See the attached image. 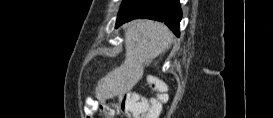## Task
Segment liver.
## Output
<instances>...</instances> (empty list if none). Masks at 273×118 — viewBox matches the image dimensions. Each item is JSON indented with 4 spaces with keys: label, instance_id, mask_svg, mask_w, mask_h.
Wrapping results in <instances>:
<instances>
[{
    "label": "liver",
    "instance_id": "6515ba94",
    "mask_svg": "<svg viewBox=\"0 0 273 118\" xmlns=\"http://www.w3.org/2000/svg\"><path fill=\"white\" fill-rule=\"evenodd\" d=\"M172 41V32L160 22L135 20L128 24L125 60L98 81L96 97L105 101L129 92L143 77L145 66L170 48Z\"/></svg>",
    "mask_w": 273,
    "mask_h": 118
}]
</instances>
